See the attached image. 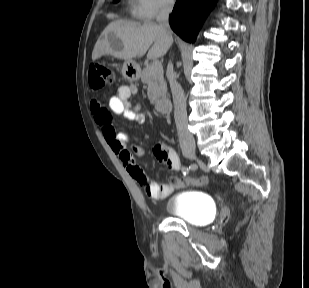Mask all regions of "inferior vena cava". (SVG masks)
<instances>
[{
  "mask_svg": "<svg viewBox=\"0 0 309 288\" xmlns=\"http://www.w3.org/2000/svg\"><path fill=\"white\" fill-rule=\"evenodd\" d=\"M174 6V0H166L163 4L161 11L157 16V22L163 29L165 36L171 41L172 34L169 26V14L172 12ZM168 80L172 92L173 104H174V118L178 131V137L180 145L195 144L193 135L189 132L186 99L182 87L177 82L173 72V65L169 62L167 67Z\"/></svg>",
  "mask_w": 309,
  "mask_h": 288,
  "instance_id": "obj_1",
  "label": "inferior vena cava"
}]
</instances>
